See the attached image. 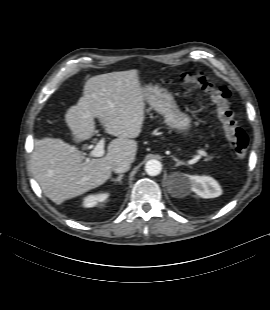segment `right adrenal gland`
Wrapping results in <instances>:
<instances>
[{
    "instance_id": "right-adrenal-gland-1",
    "label": "right adrenal gland",
    "mask_w": 270,
    "mask_h": 310,
    "mask_svg": "<svg viewBox=\"0 0 270 310\" xmlns=\"http://www.w3.org/2000/svg\"><path fill=\"white\" fill-rule=\"evenodd\" d=\"M124 177V174H120L117 178H112L111 181L122 183V178Z\"/></svg>"
}]
</instances>
